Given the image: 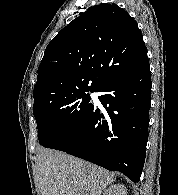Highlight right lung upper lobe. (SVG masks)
I'll return each instance as SVG.
<instances>
[{
    "mask_svg": "<svg viewBox=\"0 0 178 195\" xmlns=\"http://www.w3.org/2000/svg\"><path fill=\"white\" fill-rule=\"evenodd\" d=\"M146 62L143 36L127 11L107 3L90 7L46 47L33 91L34 107L80 90L96 91Z\"/></svg>",
    "mask_w": 178,
    "mask_h": 195,
    "instance_id": "1",
    "label": "right lung upper lobe"
}]
</instances>
